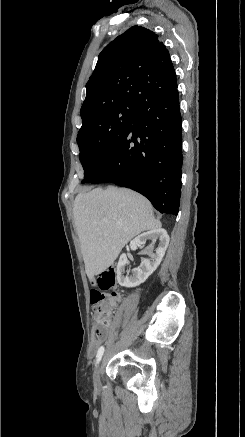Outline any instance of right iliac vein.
<instances>
[{
    "instance_id": "right-iliac-vein-1",
    "label": "right iliac vein",
    "mask_w": 245,
    "mask_h": 437,
    "mask_svg": "<svg viewBox=\"0 0 245 437\" xmlns=\"http://www.w3.org/2000/svg\"><path fill=\"white\" fill-rule=\"evenodd\" d=\"M101 368H102V362H100V363L96 366V368H95V370H94L93 381H94V384H95L96 386H98V385L100 384V372H101Z\"/></svg>"
}]
</instances>
